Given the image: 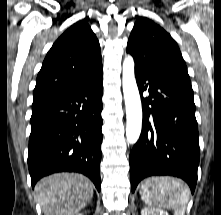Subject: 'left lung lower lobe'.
<instances>
[{"instance_id":"left-lung-lower-lobe-1","label":"left lung lower lobe","mask_w":221,"mask_h":215,"mask_svg":"<svg viewBox=\"0 0 221 215\" xmlns=\"http://www.w3.org/2000/svg\"><path fill=\"white\" fill-rule=\"evenodd\" d=\"M135 77L143 123L129 156L132 191L145 177L171 175L185 180L193 193L200 149L191 83L175 73L136 65Z\"/></svg>"}]
</instances>
